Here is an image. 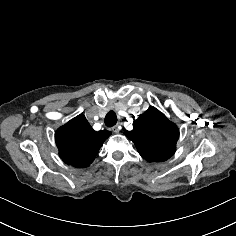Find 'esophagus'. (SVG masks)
Instances as JSON below:
<instances>
[{
  "mask_svg": "<svg viewBox=\"0 0 236 236\" xmlns=\"http://www.w3.org/2000/svg\"><path fill=\"white\" fill-rule=\"evenodd\" d=\"M112 130H113V132H115V133H119V132H120V129H119L118 125H114V126L112 127Z\"/></svg>",
  "mask_w": 236,
  "mask_h": 236,
  "instance_id": "esophagus-1",
  "label": "esophagus"
}]
</instances>
